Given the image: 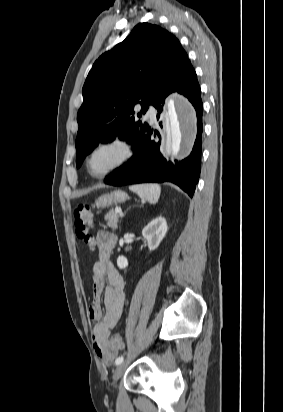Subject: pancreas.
<instances>
[{"mask_svg": "<svg viewBox=\"0 0 283 412\" xmlns=\"http://www.w3.org/2000/svg\"><path fill=\"white\" fill-rule=\"evenodd\" d=\"M105 220L107 221L108 227L112 229L118 228L119 214L116 213L115 211L113 210L109 211V213H107L105 216Z\"/></svg>", "mask_w": 283, "mask_h": 412, "instance_id": "pancreas-1", "label": "pancreas"}]
</instances>
